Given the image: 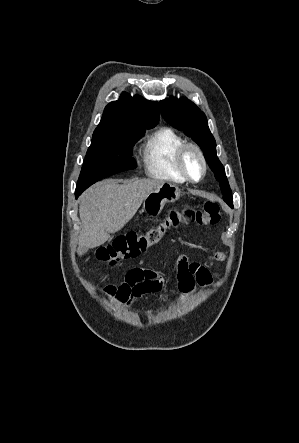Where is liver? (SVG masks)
Here are the masks:
<instances>
[{
	"mask_svg": "<svg viewBox=\"0 0 299 443\" xmlns=\"http://www.w3.org/2000/svg\"><path fill=\"white\" fill-rule=\"evenodd\" d=\"M165 182L156 179H107L87 189L79 198L82 230L79 245L95 248L121 230L144 199Z\"/></svg>",
	"mask_w": 299,
	"mask_h": 443,
	"instance_id": "obj_1",
	"label": "liver"
}]
</instances>
